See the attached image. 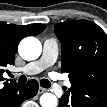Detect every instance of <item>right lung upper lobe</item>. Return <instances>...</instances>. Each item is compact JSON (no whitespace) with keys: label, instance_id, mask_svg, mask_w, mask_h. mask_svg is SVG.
<instances>
[{"label":"right lung upper lobe","instance_id":"1","mask_svg":"<svg viewBox=\"0 0 107 107\" xmlns=\"http://www.w3.org/2000/svg\"><path fill=\"white\" fill-rule=\"evenodd\" d=\"M44 29L45 25L43 24L21 26L0 23V81L5 80L2 77V74L5 72L4 67L8 64H14V55L20 40L26 36L36 35ZM6 84H9L8 81L4 83V85Z\"/></svg>","mask_w":107,"mask_h":107}]
</instances>
